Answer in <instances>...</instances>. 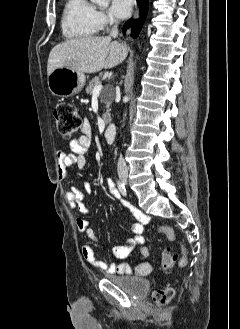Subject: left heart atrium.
<instances>
[{
    "label": "left heart atrium",
    "instance_id": "1",
    "mask_svg": "<svg viewBox=\"0 0 240 329\" xmlns=\"http://www.w3.org/2000/svg\"><path fill=\"white\" fill-rule=\"evenodd\" d=\"M134 0H111V14L119 19L128 17L132 11Z\"/></svg>",
    "mask_w": 240,
    "mask_h": 329
}]
</instances>
